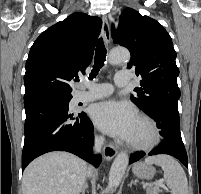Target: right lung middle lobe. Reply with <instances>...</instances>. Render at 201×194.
Listing matches in <instances>:
<instances>
[{
	"mask_svg": "<svg viewBox=\"0 0 201 194\" xmlns=\"http://www.w3.org/2000/svg\"><path fill=\"white\" fill-rule=\"evenodd\" d=\"M63 98H65L66 100L70 101L72 96L71 95H61Z\"/></svg>",
	"mask_w": 201,
	"mask_h": 194,
	"instance_id": "1",
	"label": "right lung middle lobe"
}]
</instances>
